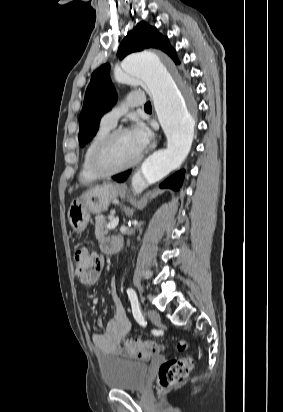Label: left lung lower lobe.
Listing matches in <instances>:
<instances>
[{
	"mask_svg": "<svg viewBox=\"0 0 283 412\" xmlns=\"http://www.w3.org/2000/svg\"><path fill=\"white\" fill-rule=\"evenodd\" d=\"M130 171L118 174L113 176V179L118 181V182H123ZM184 173L185 170H180L179 172L175 173L174 175L170 176L168 179H166L161 185V188H171L172 190L178 191L182 185L183 179H184Z\"/></svg>",
	"mask_w": 283,
	"mask_h": 412,
	"instance_id": "1",
	"label": "left lung lower lobe"
}]
</instances>
